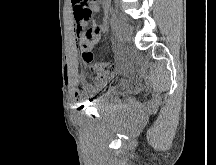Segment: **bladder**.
Returning a JSON list of instances; mask_svg holds the SVG:
<instances>
[{
	"mask_svg": "<svg viewBox=\"0 0 216 165\" xmlns=\"http://www.w3.org/2000/svg\"><path fill=\"white\" fill-rule=\"evenodd\" d=\"M116 80V76H103L101 80L97 81L96 86L99 88V92L93 101L96 108H105L111 103L117 91L110 86H116Z\"/></svg>",
	"mask_w": 216,
	"mask_h": 165,
	"instance_id": "bladder-1",
	"label": "bladder"
}]
</instances>
